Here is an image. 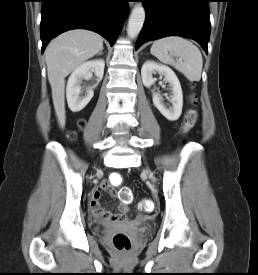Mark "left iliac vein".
<instances>
[{"label": "left iliac vein", "instance_id": "left-iliac-vein-1", "mask_svg": "<svg viewBox=\"0 0 258 275\" xmlns=\"http://www.w3.org/2000/svg\"><path fill=\"white\" fill-rule=\"evenodd\" d=\"M146 172L148 173L149 178L154 182V177H153V175H152L150 172H148V171H146Z\"/></svg>", "mask_w": 258, "mask_h": 275}]
</instances>
